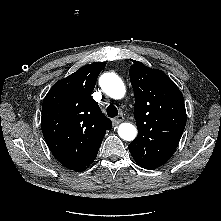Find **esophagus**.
<instances>
[{
  "instance_id": "1",
  "label": "esophagus",
  "mask_w": 221,
  "mask_h": 221,
  "mask_svg": "<svg viewBox=\"0 0 221 221\" xmlns=\"http://www.w3.org/2000/svg\"><path fill=\"white\" fill-rule=\"evenodd\" d=\"M123 120H124V117L120 115V116H117L116 118H114L112 120V123H113L114 126H117L118 124L123 122Z\"/></svg>"
}]
</instances>
